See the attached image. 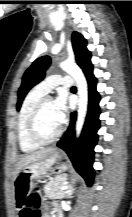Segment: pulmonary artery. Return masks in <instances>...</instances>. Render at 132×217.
I'll list each match as a JSON object with an SVG mask.
<instances>
[{"label":"pulmonary artery","mask_w":132,"mask_h":217,"mask_svg":"<svg viewBox=\"0 0 132 217\" xmlns=\"http://www.w3.org/2000/svg\"><path fill=\"white\" fill-rule=\"evenodd\" d=\"M59 85L69 87L72 85V79L70 77H62L61 75H51L41 81L36 87L44 94H47Z\"/></svg>","instance_id":"1"}]
</instances>
